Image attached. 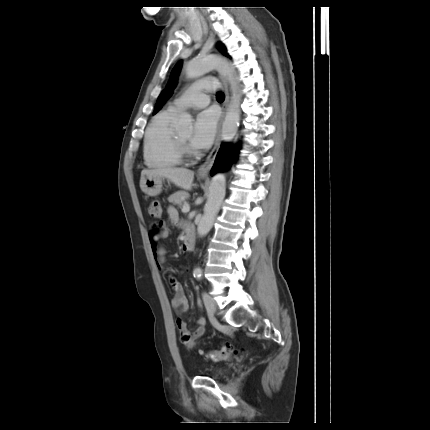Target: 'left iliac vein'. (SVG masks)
Masks as SVG:
<instances>
[{
  "label": "left iliac vein",
  "mask_w": 430,
  "mask_h": 430,
  "mask_svg": "<svg viewBox=\"0 0 430 430\" xmlns=\"http://www.w3.org/2000/svg\"><path fill=\"white\" fill-rule=\"evenodd\" d=\"M202 296H203V301H204V304H205V307H206L208 314L210 316H213L216 312V304H215L214 300L212 299V297L207 292H203Z\"/></svg>",
  "instance_id": "obj_1"
}]
</instances>
